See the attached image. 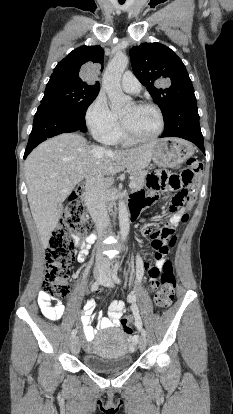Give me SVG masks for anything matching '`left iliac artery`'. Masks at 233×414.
I'll return each mask as SVG.
<instances>
[{"instance_id":"44dca946","label":"left iliac artery","mask_w":233,"mask_h":414,"mask_svg":"<svg viewBox=\"0 0 233 414\" xmlns=\"http://www.w3.org/2000/svg\"><path fill=\"white\" fill-rule=\"evenodd\" d=\"M118 267H119V265L116 264L115 268L113 269V272H112V278H113L115 283H120L121 282L120 278L117 275ZM132 310H133V313L135 315V319H136V323H137L138 328L141 330L142 335L146 336V331L142 328V322H141V318L139 316V311H138V308H137L136 304L132 307Z\"/></svg>"}]
</instances>
